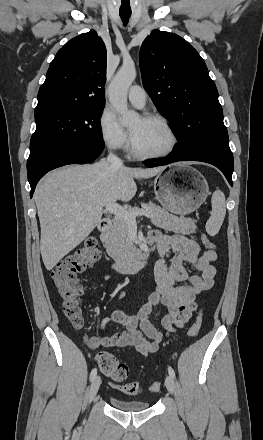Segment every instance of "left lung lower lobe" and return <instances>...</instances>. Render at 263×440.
Here are the masks:
<instances>
[{
	"label": "left lung lower lobe",
	"mask_w": 263,
	"mask_h": 440,
	"mask_svg": "<svg viewBox=\"0 0 263 440\" xmlns=\"http://www.w3.org/2000/svg\"><path fill=\"white\" fill-rule=\"evenodd\" d=\"M177 161H201L212 164L222 171L230 185L233 186V154L227 146L214 148L196 156H184L174 149L173 153L166 158L146 160L143 163L147 167H155Z\"/></svg>",
	"instance_id": "left-lung-lower-lobe-1"
}]
</instances>
